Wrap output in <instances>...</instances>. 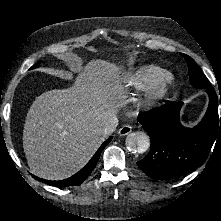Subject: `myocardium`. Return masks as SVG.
Wrapping results in <instances>:
<instances>
[{
	"mask_svg": "<svg viewBox=\"0 0 221 221\" xmlns=\"http://www.w3.org/2000/svg\"><path fill=\"white\" fill-rule=\"evenodd\" d=\"M171 84L172 78L167 77L164 80L153 85L151 88L148 89L145 97L140 102V105L148 107L155 106L167 95Z\"/></svg>",
	"mask_w": 221,
	"mask_h": 221,
	"instance_id": "f54148a6",
	"label": "myocardium"
}]
</instances>
